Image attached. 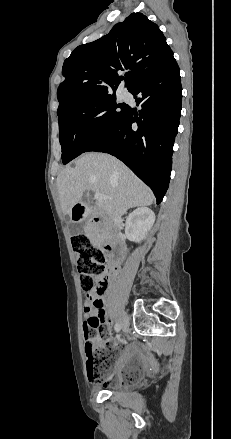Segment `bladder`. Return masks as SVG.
Returning <instances> with one entry per match:
<instances>
[{
  "instance_id": "bladder-1",
  "label": "bladder",
  "mask_w": 231,
  "mask_h": 439,
  "mask_svg": "<svg viewBox=\"0 0 231 439\" xmlns=\"http://www.w3.org/2000/svg\"><path fill=\"white\" fill-rule=\"evenodd\" d=\"M128 364H126L123 368L124 370V375L129 376V377H133V378H139L144 374V364L142 362V360H140L139 358H130L128 360ZM132 387L131 386H127L125 388V390L129 391L131 390ZM110 391H115V388H111L109 389Z\"/></svg>"
}]
</instances>
